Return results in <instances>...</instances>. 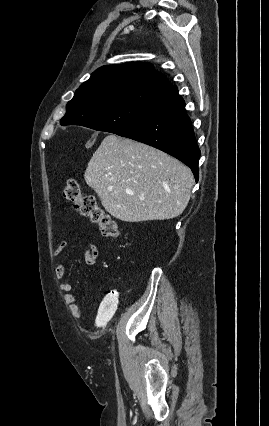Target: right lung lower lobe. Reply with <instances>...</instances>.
<instances>
[{
	"mask_svg": "<svg viewBox=\"0 0 269 426\" xmlns=\"http://www.w3.org/2000/svg\"><path fill=\"white\" fill-rule=\"evenodd\" d=\"M115 134L160 149L186 164L199 179L197 145L185 102L176 86L166 88L150 111L139 121Z\"/></svg>",
	"mask_w": 269,
	"mask_h": 426,
	"instance_id": "98d812e1",
	"label": "right lung lower lobe"
}]
</instances>
